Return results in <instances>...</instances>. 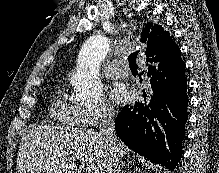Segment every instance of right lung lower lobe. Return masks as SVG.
<instances>
[{
	"mask_svg": "<svg viewBox=\"0 0 219 173\" xmlns=\"http://www.w3.org/2000/svg\"><path fill=\"white\" fill-rule=\"evenodd\" d=\"M147 76V93L121 108L115 121L119 138L139 155L174 170L182 156L188 119L187 80L181 54L157 55Z\"/></svg>",
	"mask_w": 219,
	"mask_h": 173,
	"instance_id": "right-lung-lower-lobe-1",
	"label": "right lung lower lobe"
}]
</instances>
